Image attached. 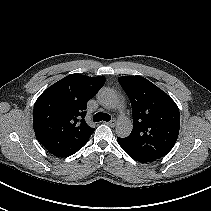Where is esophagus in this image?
<instances>
[{
  "instance_id": "esophagus-1",
  "label": "esophagus",
  "mask_w": 211,
  "mask_h": 211,
  "mask_svg": "<svg viewBox=\"0 0 211 211\" xmlns=\"http://www.w3.org/2000/svg\"><path fill=\"white\" fill-rule=\"evenodd\" d=\"M107 125L111 126V127H114L116 125V120H111L109 122H106Z\"/></svg>"
}]
</instances>
